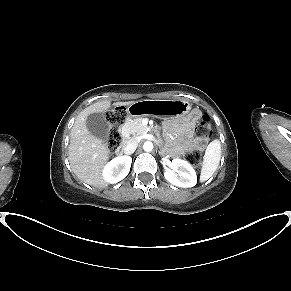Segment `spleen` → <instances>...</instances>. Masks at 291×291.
Masks as SVG:
<instances>
[{"mask_svg":"<svg viewBox=\"0 0 291 291\" xmlns=\"http://www.w3.org/2000/svg\"><path fill=\"white\" fill-rule=\"evenodd\" d=\"M221 158V144L218 139L213 140L205 151L200 174L201 182L208 180L218 168Z\"/></svg>","mask_w":291,"mask_h":291,"instance_id":"1","label":"spleen"}]
</instances>
